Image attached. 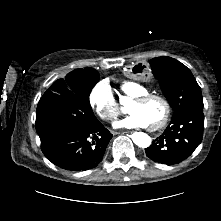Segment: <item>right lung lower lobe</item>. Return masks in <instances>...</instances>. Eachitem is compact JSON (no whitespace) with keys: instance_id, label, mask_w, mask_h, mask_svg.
<instances>
[{"instance_id":"obj_1","label":"right lung lower lobe","mask_w":221,"mask_h":221,"mask_svg":"<svg viewBox=\"0 0 221 221\" xmlns=\"http://www.w3.org/2000/svg\"><path fill=\"white\" fill-rule=\"evenodd\" d=\"M112 136L97 121L89 127H75L41 142V149L56 166L71 171H85L102 161Z\"/></svg>"}]
</instances>
